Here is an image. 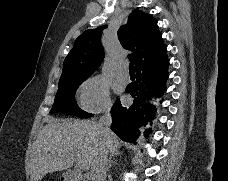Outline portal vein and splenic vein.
<instances>
[{"label":"portal vein and splenic vein","instance_id":"portal-vein-and-splenic-vein-1","mask_svg":"<svg viewBox=\"0 0 228 181\" xmlns=\"http://www.w3.org/2000/svg\"><path fill=\"white\" fill-rule=\"evenodd\" d=\"M75 161L80 171H84V169H86L87 165H85V161H82L81 157H75Z\"/></svg>","mask_w":228,"mask_h":181}]
</instances>
